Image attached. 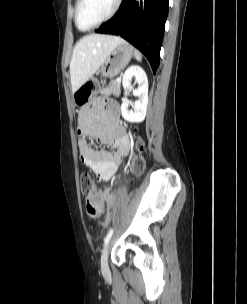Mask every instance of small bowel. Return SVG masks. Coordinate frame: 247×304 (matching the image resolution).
I'll use <instances>...</instances> for the list:
<instances>
[{
	"label": "small bowel",
	"mask_w": 247,
	"mask_h": 304,
	"mask_svg": "<svg viewBox=\"0 0 247 304\" xmlns=\"http://www.w3.org/2000/svg\"><path fill=\"white\" fill-rule=\"evenodd\" d=\"M77 131L81 161L97 175L100 182L109 181L130 149V138L120 121L117 103L100 100L83 107ZM101 146H109L112 150Z\"/></svg>",
	"instance_id": "c3829d8e"
}]
</instances>
